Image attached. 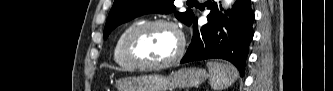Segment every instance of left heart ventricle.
Returning <instances> with one entry per match:
<instances>
[{
	"label": "left heart ventricle",
	"instance_id": "left-heart-ventricle-1",
	"mask_svg": "<svg viewBox=\"0 0 333 91\" xmlns=\"http://www.w3.org/2000/svg\"><path fill=\"white\" fill-rule=\"evenodd\" d=\"M179 47L178 35L169 27L146 30L136 40V53L148 62H163L174 56Z\"/></svg>",
	"mask_w": 333,
	"mask_h": 91
}]
</instances>
